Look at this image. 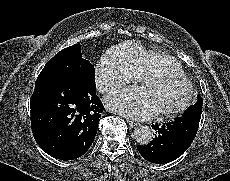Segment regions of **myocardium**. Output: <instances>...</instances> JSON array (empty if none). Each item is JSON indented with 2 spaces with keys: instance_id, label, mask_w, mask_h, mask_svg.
Instances as JSON below:
<instances>
[{
  "instance_id": "1",
  "label": "myocardium",
  "mask_w": 230,
  "mask_h": 181,
  "mask_svg": "<svg viewBox=\"0 0 230 181\" xmlns=\"http://www.w3.org/2000/svg\"><path fill=\"white\" fill-rule=\"evenodd\" d=\"M155 79L181 81L186 85V95L181 103L172 109L158 110V114L170 117L177 115L188 108L192 101L194 90L191 81L185 75H178L170 72H150L141 78L140 86L138 88L144 89V86L149 81Z\"/></svg>"
}]
</instances>
